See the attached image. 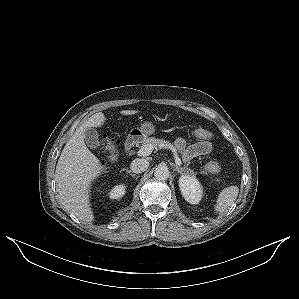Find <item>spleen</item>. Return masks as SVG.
<instances>
[{"instance_id":"obj_1","label":"spleen","mask_w":299,"mask_h":299,"mask_svg":"<svg viewBox=\"0 0 299 299\" xmlns=\"http://www.w3.org/2000/svg\"><path fill=\"white\" fill-rule=\"evenodd\" d=\"M239 193L237 186L224 188L218 195L214 211L215 213H224L234 203Z\"/></svg>"}]
</instances>
